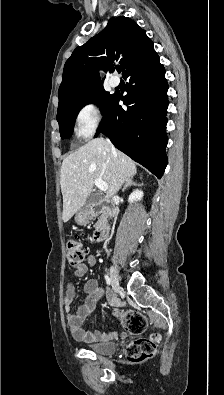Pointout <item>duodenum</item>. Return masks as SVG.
I'll use <instances>...</instances> for the list:
<instances>
[{"label":"duodenum","instance_id":"410a0bca","mask_svg":"<svg viewBox=\"0 0 224 395\" xmlns=\"http://www.w3.org/2000/svg\"><path fill=\"white\" fill-rule=\"evenodd\" d=\"M114 211V206L110 204L107 200L101 199L100 201L93 203L89 206V213L91 216L97 215L99 212L112 213ZM108 233V226L105 222L101 223L93 233V242L100 243L106 237Z\"/></svg>","mask_w":224,"mask_h":395}]
</instances>
